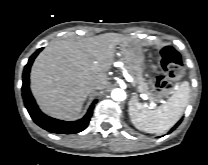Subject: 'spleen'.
I'll return each mask as SVG.
<instances>
[{
  "mask_svg": "<svg viewBox=\"0 0 208 165\" xmlns=\"http://www.w3.org/2000/svg\"><path fill=\"white\" fill-rule=\"evenodd\" d=\"M189 97L190 86L187 81L176 88L166 104L156 109H151L132 97L128 108L131 122L137 129L147 133H165L181 118Z\"/></svg>",
  "mask_w": 208,
  "mask_h": 165,
  "instance_id": "1",
  "label": "spleen"
}]
</instances>
